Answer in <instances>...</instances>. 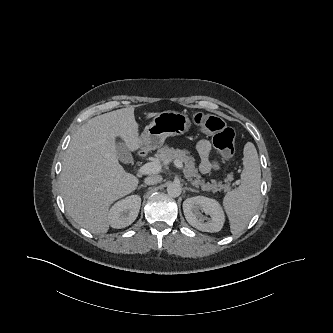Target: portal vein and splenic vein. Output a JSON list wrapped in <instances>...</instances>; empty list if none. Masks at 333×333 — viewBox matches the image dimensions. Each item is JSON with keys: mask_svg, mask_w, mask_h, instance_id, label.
I'll list each match as a JSON object with an SVG mask.
<instances>
[{"mask_svg": "<svg viewBox=\"0 0 333 333\" xmlns=\"http://www.w3.org/2000/svg\"><path fill=\"white\" fill-rule=\"evenodd\" d=\"M174 165L181 169L183 167V163L180 160H174ZM162 165L158 162H149L144 164L138 169V173L140 175L154 174L161 170Z\"/></svg>", "mask_w": 333, "mask_h": 333, "instance_id": "18ae733b", "label": "portal vein and splenic vein"}]
</instances>
